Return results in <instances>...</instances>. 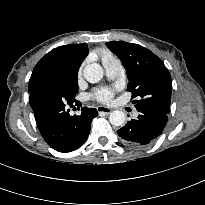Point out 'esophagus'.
I'll return each instance as SVG.
<instances>
[{"instance_id":"obj_1","label":"esophagus","mask_w":205,"mask_h":205,"mask_svg":"<svg viewBox=\"0 0 205 205\" xmlns=\"http://www.w3.org/2000/svg\"><path fill=\"white\" fill-rule=\"evenodd\" d=\"M97 111H98V113L109 114L112 110L108 107H105V106H98Z\"/></svg>"}]
</instances>
